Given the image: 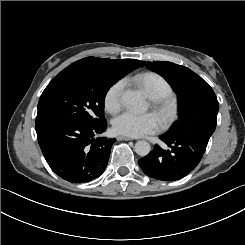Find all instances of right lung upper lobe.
<instances>
[{
    "instance_id": "1",
    "label": "right lung upper lobe",
    "mask_w": 245,
    "mask_h": 245,
    "mask_svg": "<svg viewBox=\"0 0 245 245\" xmlns=\"http://www.w3.org/2000/svg\"><path fill=\"white\" fill-rule=\"evenodd\" d=\"M76 62L111 67L118 71L128 72V73L142 66V63L135 59L112 60L108 58L87 57V58L78 60Z\"/></svg>"
}]
</instances>
